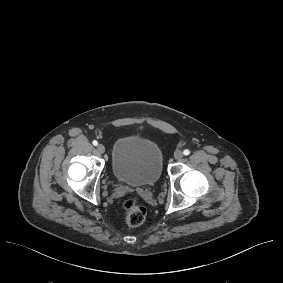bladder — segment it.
<instances>
[{"label": "bladder", "instance_id": "bladder-1", "mask_svg": "<svg viewBox=\"0 0 283 283\" xmlns=\"http://www.w3.org/2000/svg\"><path fill=\"white\" fill-rule=\"evenodd\" d=\"M162 161L155 140L138 135L123 136L114 145L113 174L118 181L128 185H151L161 175Z\"/></svg>", "mask_w": 283, "mask_h": 283}]
</instances>
